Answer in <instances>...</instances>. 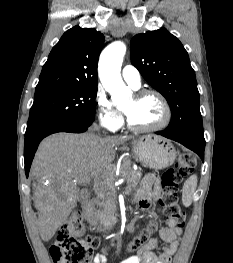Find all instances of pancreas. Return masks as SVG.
Instances as JSON below:
<instances>
[{
  "label": "pancreas",
  "mask_w": 233,
  "mask_h": 263,
  "mask_svg": "<svg viewBox=\"0 0 233 263\" xmlns=\"http://www.w3.org/2000/svg\"><path fill=\"white\" fill-rule=\"evenodd\" d=\"M142 173L135 170H130L127 175V193L138 187ZM116 204L113 195L109 192L103 193L100 201L97 203V208H94L89 218L92 224H100L103 227H110L116 222L115 217Z\"/></svg>",
  "instance_id": "obj_1"
}]
</instances>
